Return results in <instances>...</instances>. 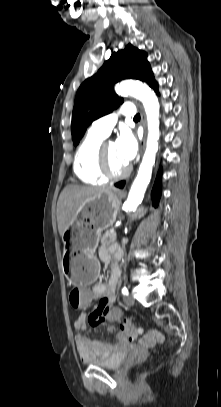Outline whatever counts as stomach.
<instances>
[{"label":"stomach","instance_id":"obj_1","mask_svg":"<svg viewBox=\"0 0 221 407\" xmlns=\"http://www.w3.org/2000/svg\"><path fill=\"white\" fill-rule=\"evenodd\" d=\"M120 193L109 189L87 200L62 234L63 272L74 283H93L99 273L95 251L103 230L116 220Z\"/></svg>","mask_w":221,"mask_h":407}]
</instances>
